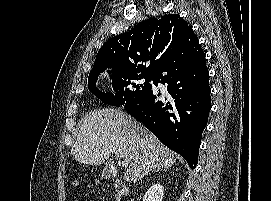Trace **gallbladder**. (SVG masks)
Masks as SVG:
<instances>
[{
    "instance_id": "obj_1",
    "label": "gallbladder",
    "mask_w": 271,
    "mask_h": 201,
    "mask_svg": "<svg viewBox=\"0 0 271 201\" xmlns=\"http://www.w3.org/2000/svg\"><path fill=\"white\" fill-rule=\"evenodd\" d=\"M115 168L113 166V162H108L106 163L103 171H102V176L105 179H111L115 177Z\"/></svg>"
}]
</instances>
